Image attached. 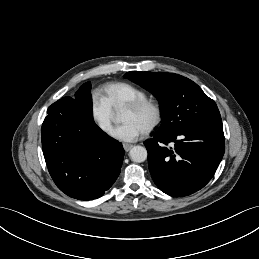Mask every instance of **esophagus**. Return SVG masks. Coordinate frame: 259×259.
<instances>
[{
  "mask_svg": "<svg viewBox=\"0 0 259 259\" xmlns=\"http://www.w3.org/2000/svg\"><path fill=\"white\" fill-rule=\"evenodd\" d=\"M132 147H133V145H131V144H127V143L123 144V148L126 152H128Z\"/></svg>",
  "mask_w": 259,
  "mask_h": 259,
  "instance_id": "1",
  "label": "esophagus"
}]
</instances>
